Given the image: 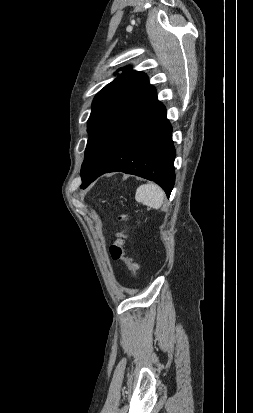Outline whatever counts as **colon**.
Wrapping results in <instances>:
<instances>
[{"label":"colon","instance_id":"1","mask_svg":"<svg viewBox=\"0 0 253 413\" xmlns=\"http://www.w3.org/2000/svg\"><path fill=\"white\" fill-rule=\"evenodd\" d=\"M118 220L125 223L127 221V215L122 213L118 216ZM127 238V233L125 229L120 230L117 233L116 240L110 246V255L113 260L123 261L133 274L135 278L138 277L139 265L131 257L127 256L124 251V244Z\"/></svg>","mask_w":253,"mask_h":413}]
</instances>
